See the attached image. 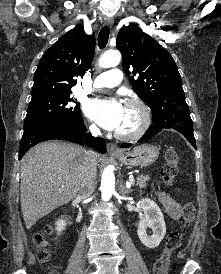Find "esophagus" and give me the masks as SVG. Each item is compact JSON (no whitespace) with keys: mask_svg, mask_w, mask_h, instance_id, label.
Returning a JSON list of instances; mask_svg holds the SVG:
<instances>
[{"mask_svg":"<svg viewBox=\"0 0 221 274\" xmlns=\"http://www.w3.org/2000/svg\"><path fill=\"white\" fill-rule=\"evenodd\" d=\"M113 22H114L113 18H110V17L105 18V24L107 26H111L113 24ZM106 148H107V152L109 154H119V153H121V150L114 143H107Z\"/></svg>","mask_w":221,"mask_h":274,"instance_id":"obj_1","label":"esophagus"}]
</instances>
